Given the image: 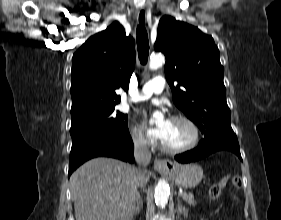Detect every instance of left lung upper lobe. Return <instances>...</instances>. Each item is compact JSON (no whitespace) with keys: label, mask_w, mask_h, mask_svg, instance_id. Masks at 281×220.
Here are the masks:
<instances>
[{"label":"left lung upper lobe","mask_w":281,"mask_h":220,"mask_svg":"<svg viewBox=\"0 0 281 220\" xmlns=\"http://www.w3.org/2000/svg\"><path fill=\"white\" fill-rule=\"evenodd\" d=\"M154 48L166 56L165 76L174 103L204 137L237 138L231 128L223 67L213 38L197 27L163 16ZM176 82L178 85L174 86Z\"/></svg>","instance_id":"1"}]
</instances>
